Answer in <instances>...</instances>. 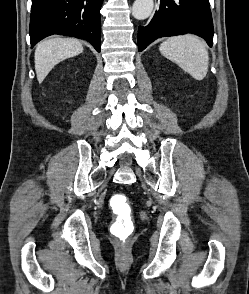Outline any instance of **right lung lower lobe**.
Masks as SVG:
<instances>
[{
	"label": "right lung lower lobe",
	"instance_id": "obj_1",
	"mask_svg": "<svg viewBox=\"0 0 249 294\" xmlns=\"http://www.w3.org/2000/svg\"><path fill=\"white\" fill-rule=\"evenodd\" d=\"M103 0H33L29 34L31 47L60 34L89 41L101 50L100 8Z\"/></svg>",
	"mask_w": 249,
	"mask_h": 294
}]
</instances>
